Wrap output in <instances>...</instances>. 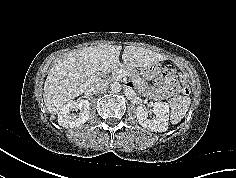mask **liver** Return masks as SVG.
<instances>
[{
	"label": "liver",
	"mask_w": 236,
	"mask_h": 178,
	"mask_svg": "<svg viewBox=\"0 0 236 178\" xmlns=\"http://www.w3.org/2000/svg\"><path fill=\"white\" fill-rule=\"evenodd\" d=\"M122 46L100 44L70 51L55 61L44 84V103L51 114H59L65 103L86 93L106 74L120 65ZM168 57L152 50L126 46L122 61L128 68H144Z\"/></svg>",
	"instance_id": "1"
}]
</instances>
